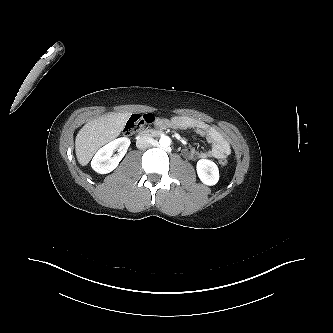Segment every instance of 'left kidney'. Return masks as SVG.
Returning <instances> with one entry per match:
<instances>
[{
    "instance_id": "left-kidney-1",
    "label": "left kidney",
    "mask_w": 333,
    "mask_h": 333,
    "mask_svg": "<svg viewBox=\"0 0 333 333\" xmlns=\"http://www.w3.org/2000/svg\"><path fill=\"white\" fill-rule=\"evenodd\" d=\"M197 174L200 180L209 186L215 185L219 180V169L211 160H199L197 162Z\"/></svg>"
}]
</instances>
